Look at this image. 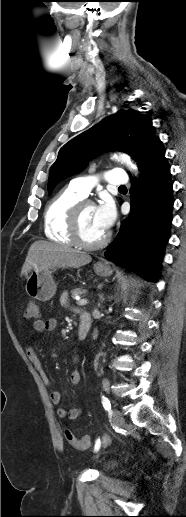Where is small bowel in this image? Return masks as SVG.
Listing matches in <instances>:
<instances>
[{"mask_svg":"<svg viewBox=\"0 0 186 517\" xmlns=\"http://www.w3.org/2000/svg\"><path fill=\"white\" fill-rule=\"evenodd\" d=\"M61 301L64 305L68 304V297L67 294L64 293L61 297ZM34 329L36 332L42 333V332H51L54 331L57 327V321L53 318L46 319V320H36L33 324ZM27 356L34 363V365L38 368L41 378L43 380V383L46 387L52 388L53 383L51 378L46 374V372L42 369L38 353L33 345L29 346L26 350ZM74 361H78V357L74 356ZM81 374L77 368H75L71 375H70V381L72 384L76 385L80 382ZM51 401L55 405H61L63 402V395L58 390H52L50 393ZM57 414L60 418H69V419H76L81 414V409L79 408H72L67 409L65 407L60 406L57 410ZM90 447V446H89ZM88 447V448H89Z\"/></svg>","mask_w":186,"mask_h":517,"instance_id":"c3829d8e","label":"small bowel"}]
</instances>
